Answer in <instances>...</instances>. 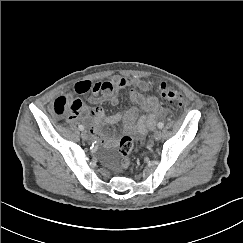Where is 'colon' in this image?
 <instances>
[{
  "instance_id": "obj_1",
  "label": "colon",
  "mask_w": 243,
  "mask_h": 243,
  "mask_svg": "<svg viewBox=\"0 0 243 243\" xmlns=\"http://www.w3.org/2000/svg\"><path fill=\"white\" fill-rule=\"evenodd\" d=\"M160 98L168 101L175 106H182L184 104L183 95L180 91L166 83H161L156 90ZM53 110L57 115H63L66 110V106L63 101H55L53 104ZM134 147L132 139L128 136L122 137L119 142V153L121 156L120 166L123 170L130 167L131 153Z\"/></svg>"
}]
</instances>
